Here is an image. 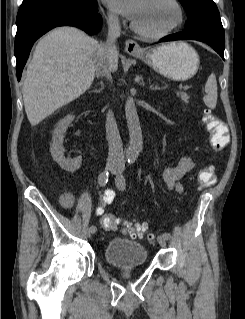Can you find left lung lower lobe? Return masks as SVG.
<instances>
[{
    "instance_id": "obj_1",
    "label": "left lung lower lobe",
    "mask_w": 245,
    "mask_h": 319,
    "mask_svg": "<svg viewBox=\"0 0 245 319\" xmlns=\"http://www.w3.org/2000/svg\"><path fill=\"white\" fill-rule=\"evenodd\" d=\"M198 40L210 45L223 59L225 38L218 36L206 30H192L182 31L175 34L168 35L160 40V42L174 41V40Z\"/></svg>"
}]
</instances>
